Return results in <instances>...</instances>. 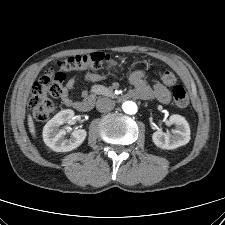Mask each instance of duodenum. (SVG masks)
<instances>
[{
    "label": "duodenum",
    "mask_w": 225,
    "mask_h": 225,
    "mask_svg": "<svg viewBox=\"0 0 225 225\" xmlns=\"http://www.w3.org/2000/svg\"><path fill=\"white\" fill-rule=\"evenodd\" d=\"M94 106V98L92 96H86L80 100H78L75 104V108L79 112H88Z\"/></svg>",
    "instance_id": "duodenum-1"
}]
</instances>
